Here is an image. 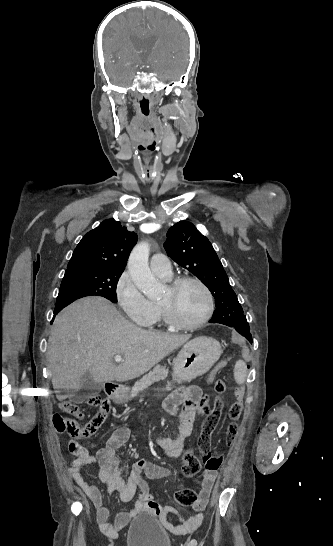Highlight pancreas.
<instances>
[{
  "mask_svg": "<svg viewBox=\"0 0 333 546\" xmlns=\"http://www.w3.org/2000/svg\"><path fill=\"white\" fill-rule=\"evenodd\" d=\"M168 376V370L160 365H157L148 374L144 375L139 381L135 382L131 389L130 398L136 397L139 393L144 392L151 384L164 380Z\"/></svg>",
  "mask_w": 333,
  "mask_h": 546,
  "instance_id": "pancreas-1",
  "label": "pancreas"
}]
</instances>
